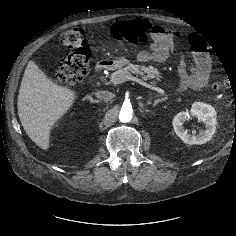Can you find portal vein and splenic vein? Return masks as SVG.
<instances>
[{
    "mask_svg": "<svg viewBox=\"0 0 236 236\" xmlns=\"http://www.w3.org/2000/svg\"><path fill=\"white\" fill-rule=\"evenodd\" d=\"M127 80L135 81V82L139 83L140 85H142V86H144L148 89L154 90V91H156L158 93H161V94H165V91L163 89H161L159 87H156V86H153V85H150V84L144 82L143 80L138 79V78L133 77V76H129L127 78H123V77L117 78V77H114V76L110 77V81L113 82L114 84H119V83H122V82L127 81Z\"/></svg>",
    "mask_w": 236,
    "mask_h": 236,
    "instance_id": "obj_1",
    "label": "portal vein and splenic vein"
}]
</instances>
